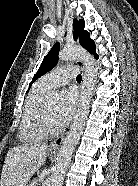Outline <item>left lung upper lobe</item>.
Here are the masks:
<instances>
[{"label": "left lung upper lobe", "mask_w": 138, "mask_h": 186, "mask_svg": "<svg viewBox=\"0 0 138 186\" xmlns=\"http://www.w3.org/2000/svg\"><path fill=\"white\" fill-rule=\"evenodd\" d=\"M75 35L78 37L79 43L82 47L88 50L90 53L94 54L95 58H98V55L95 51V43L93 40L90 39V34L84 30V20H77L74 19L73 22ZM60 50V43L54 44L52 49L49 53L45 56L40 68L38 69L37 73L33 77L31 84L38 79L40 76L44 75L45 73L49 72L53 67L57 64L58 61V53ZM30 84V86H31Z\"/></svg>", "instance_id": "5c2ea615"}]
</instances>
